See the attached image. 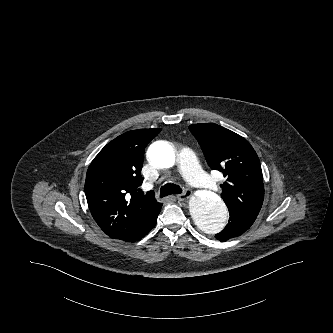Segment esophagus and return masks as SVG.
Returning a JSON list of instances; mask_svg holds the SVG:
<instances>
[{
	"instance_id": "34e87169",
	"label": "esophagus",
	"mask_w": 333,
	"mask_h": 333,
	"mask_svg": "<svg viewBox=\"0 0 333 333\" xmlns=\"http://www.w3.org/2000/svg\"><path fill=\"white\" fill-rule=\"evenodd\" d=\"M191 196V192L189 190H185L183 193H180L176 196L179 201H186Z\"/></svg>"
}]
</instances>
